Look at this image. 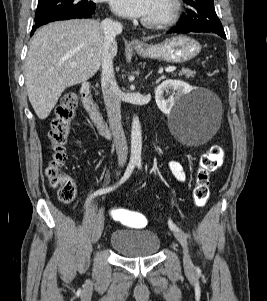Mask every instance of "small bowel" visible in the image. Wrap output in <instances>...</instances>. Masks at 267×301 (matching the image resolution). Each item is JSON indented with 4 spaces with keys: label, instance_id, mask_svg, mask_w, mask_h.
<instances>
[{
    "label": "small bowel",
    "instance_id": "small-bowel-1",
    "mask_svg": "<svg viewBox=\"0 0 267 301\" xmlns=\"http://www.w3.org/2000/svg\"><path fill=\"white\" fill-rule=\"evenodd\" d=\"M169 168H170L172 174L175 176V178L179 182H182V183L186 182L187 174H186L182 164L179 161L171 160L169 162Z\"/></svg>",
    "mask_w": 267,
    "mask_h": 301
}]
</instances>
